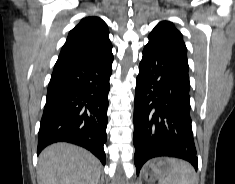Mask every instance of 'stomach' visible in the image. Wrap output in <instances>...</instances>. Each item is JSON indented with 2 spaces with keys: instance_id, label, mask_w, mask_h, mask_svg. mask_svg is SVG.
Wrapping results in <instances>:
<instances>
[{
  "instance_id": "obj_1",
  "label": "stomach",
  "mask_w": 235,
  "mask_h": 184,
  "mask_svg": "<svg viewBox=\"0 0 235 184\" xmlns=\"http://www.w3.org/2000/svg\"><path fill=\"white\" fill-rule=\"evenodd\" d=\"M166 170H168L167 158H156L151 160L149 164H146L143 170V178L146 182H154L164 176Z\"/></svg>"
}]
</instances>
